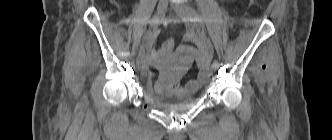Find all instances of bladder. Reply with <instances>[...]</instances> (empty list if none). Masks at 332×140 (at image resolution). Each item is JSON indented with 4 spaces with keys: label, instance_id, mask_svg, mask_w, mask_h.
<instances>
[{
    "label": "bladder",
    "instance_id": "obj_1",
    "mask_svg": "<svg viewBox=\"0 0 332 140\" xmlns=\"http://www.w3.org/2000/svg\"><path fill=\"white\" fill-rule=\"evenodd\" d=\"M189 81L185 86H183L185 92L182 95H170L162 96L151 91L148 92L149 100L158 107H161L169 111H179L186 109L195 101L197 93L202 88V84L198 85L193 89H188Z\"/></svg>",
    "mask_w": 332,
    "mask_h": 140
}]
</instances>
